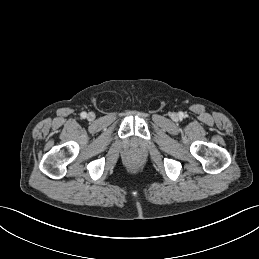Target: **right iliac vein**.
Wrapping results in <instances>:
<instances>
[{
  "label": "right iliac vein",
  "instance_id": "obj_1",
  "mask_svg": "<svg viewBox=\"0 0 259 259\" xmlns=\"http://www.w3.org/2000/svg\"><path fill=\"white\" fill-rule=\"evenodd\" d=\"M94 117H95V116H94L93 113H89V114H88V119L92 120V119H94Z\"/></svg>",
  "mask_w": 259,
  "mask_h": 259
}]
</instances>
